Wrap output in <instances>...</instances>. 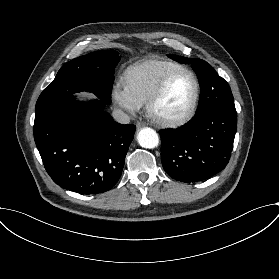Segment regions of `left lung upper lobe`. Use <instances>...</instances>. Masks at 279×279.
<instances>
[{"instance_id":"5c2ea615","label":"left lung upper lobe","mask_w":279,"mask_h":279,"mask_svg":"<svg viewBox=\"0 0 279 279\" xmlns=\"http://www.w3.org/2000/svg\"><path fill=\"white\" fill-rule=\"evenodd\" d=\"M173 59L184 64H191L197 73L200 83L199 105L196 115L208 110H221L237 114L233 95L228 83L206 61L198 58H185L170 55Z\"/></svg>"}]
</instances>
